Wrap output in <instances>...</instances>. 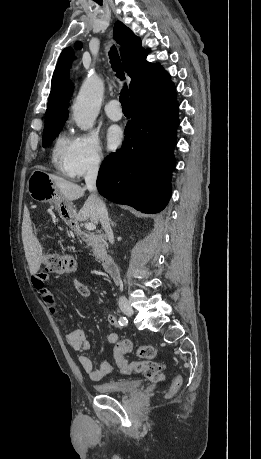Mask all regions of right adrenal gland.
<instances>
[{
	"label": "right adrenal gland",
	"mask_w": 261,
	"mask_h": 459,
	"mask_svg": "<svg viewBox=\"0 0 261 459\" xmlns=\"http://www.w3.org/2000/svg\"><path fill=\"white\" fill-rule=\"evenodd\" d=\"M110 222H111L112 227H115L116 223L114 221H112L111 218H110Z\"/></svg>",
	"instance_id": "1"
}]
</instances>
